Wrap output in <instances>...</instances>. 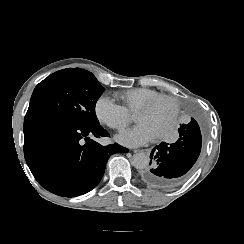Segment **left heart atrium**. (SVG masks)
I'll return each mask as SVG.
<instances>
[{"mask_svg":"<svg viewBox=\"0 0 244 244\" xmlns=\"http://www.w3.org/2000/svg\"><path fill=\"white\" fill-rule=\"evenodd\" d=\"M159 137L146 125L140 124L135 129L119 136L117 140L127 146H139Z\"/></svg>","mask_w":244,"mask_h":244,"instance_id":"obj_1","label":"left heart atrium"}]
</instances>
